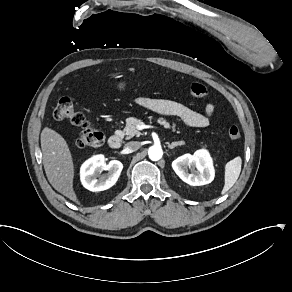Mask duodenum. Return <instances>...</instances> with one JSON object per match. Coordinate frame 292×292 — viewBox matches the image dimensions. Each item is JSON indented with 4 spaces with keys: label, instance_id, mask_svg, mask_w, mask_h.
Listing matches in <instances>:
<instances>
[{
    "label": "duodenum",
    "instance_id": "410a0bca",
    "mask_svg": "<svg viewBox=\"0 0 292 292\" xmlns=\"http://www.w3.org/2000/svg\"><path fill=\"white\" fill-rule=\"evenodd\" d=\"M123 139L121 134H113L108 141L109 147L112 149H119L122 146Z\"/></svg>",
    "mask_w": 292,
    "mask_h": 292
}]
</instances>
